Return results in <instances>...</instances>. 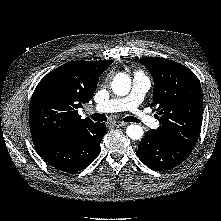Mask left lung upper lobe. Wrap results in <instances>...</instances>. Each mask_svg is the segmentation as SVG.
Instances as JSON below:
<instances>
[{
    "instance_id": "obj_1",
    "label": "left lung upper lobe",
    "mask_w": 221,
    "mask_h": 221,
    "mask_svg": "<svg viewBox=\"0 0 221 221\" xmlns=\"http://www.w3.org/2000/svg\"><path fill=\"white\" fill-rule=\"evenodd\" d=\"M153 79V103L160 115L156 137L193 149L202 124L203 94L186 66L162 58H142ZM152 130V129H151Z\"/></svg>"
}]
</instances>
